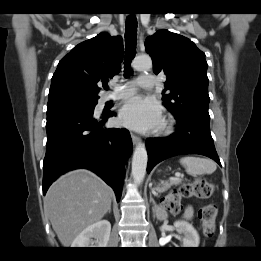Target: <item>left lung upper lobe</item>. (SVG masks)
<instances>
[{
	"label": "left lung upper lobe",
	"mask_w": 261,
	"mask_h": 261,
	"mask_svg": "<svg viewBox=\"0 0 261 261\" xmlns=\"http://www.w3.org/2000/svg\"><path fill=\"white\" fill-rule=\"evenodd\" d=\"M153 61V71L167 77L163 96L165 107L175 117L198 116L210 120L208 113V64L205 54L190 39L159 30L145 40Z\"/></svg>",
	"instance_id": "obj_1"
}]
</instances>
